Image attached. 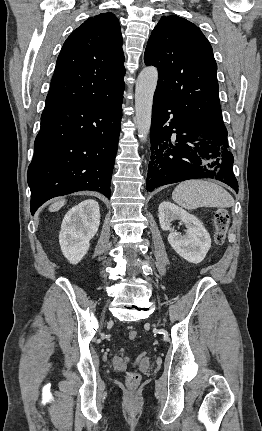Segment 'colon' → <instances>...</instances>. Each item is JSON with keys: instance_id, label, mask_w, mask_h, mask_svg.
<instances>
[{"instance_id": "colon-1", "label": "colon", "mask_w": 262, "mask_h": 431, "mask_svg": "<svg viewBox=\"0 0 262 431\" xmlns=\"http://www.w3.org/2000/svg\"><path fill=\"white\" fill-rule=\"evenodd\" d=\"M214 228L215 234L214 238L216 243L222 244L225 240L227 229L230 223L229 213L225 209H218L214 216ZM130 339H135L138 337V332L136 330H130L128 333ZM140 381V375L137 372H130L127 377V383L129 385H137Z\"/></svg>"}]
</instances>
